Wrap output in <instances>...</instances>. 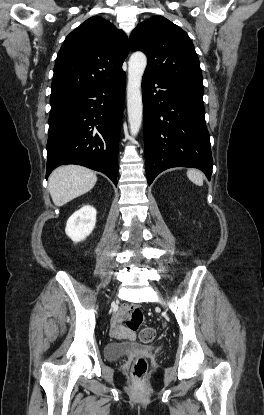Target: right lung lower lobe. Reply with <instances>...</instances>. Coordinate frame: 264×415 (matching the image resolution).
I'll use <instances>...</instances> for the list:
<instances>
[{
    "label": "right lung lower lobe",
    "instance_id": "right-lung-lower-lobe-1",
    "mask_svg": "<svg viewBox=\"0 0 264 415\" xmlns=\"http://www.w3.org/2000/svg\"><path fill=\"white\" fill-rule=\"evenodd\" d=\"M125 73L113 81L50 98L46 179L58 166L78 164L117 184Z\"/></svg>",
    "mask_w": 264,
    "mask_h": 415
}]
</instances>
